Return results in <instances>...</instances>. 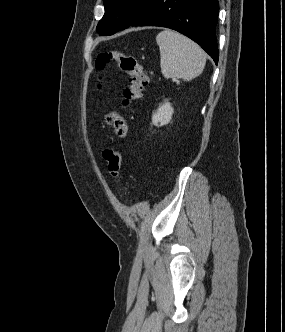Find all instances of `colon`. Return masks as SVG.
I'll return each instance as SVG.
<instances>
[{
	"label": "colon",
	"instance_id": "5ec220e1",
	"mask_svg": "<svg viewBox=\"0 0 285 332\" xmlns=\"http://www.w3.org/2000/svg\"><path fill=\"white\" fill-rule=\"evenodd\" d=\"M111 61L115 62L119 72L127 76V86L123 92L122 105L129 107L142 97L148 78L136 58L119 50L99 53L95 66L98 70H103ZM103 158L107 164L109 174L112 177H117L120 173L122 162L120 152L113 147H107L103 151Z\"/></svg>",
	"mask_w": 285,
	"mask_h": 332
}]
</instances>
